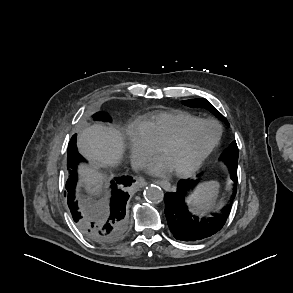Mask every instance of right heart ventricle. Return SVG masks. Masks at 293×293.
Returning <instances> with one entry per match:
<instances>
[{
	"mask_svg": "<svg viewBox=\"0 0 293 293\" xmlns=\"http://www.w3.org/2000/svg\"><path fill=\"white\" fill-rule=\"evenodd\" d=\"M197 119L199 118L181 110L156 111L151 113L141 125L144 126L154 146H159L186 124Z\"/></svg>",
	"mask_w": 293,
	"mask_h": 293,
	"instance_id": "right-heart-ventricle-1",
	"label": "right heart ventricle"
}]
</instances>
